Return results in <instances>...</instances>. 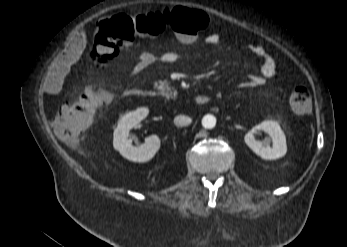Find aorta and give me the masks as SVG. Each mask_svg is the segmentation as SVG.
Returning a JSON list of instances; mask_svg holds the SVG:
<instances>
[{
    "mask_svg": "<svg viewBox=\"0 0 347 247\" xmlns=\"http://www.w3.org/2000/svg\"><path fill=\"white\" fill-rule=\"evenodd\" d=\"M202 125L206 129H212L216 125V118L212 114H207L202 119Z\"/></svg>",
    "mask_w": 347,
    "mask_h": 247,
    "instance_id": "762f6f07",
    "label": "aorta"
}]
</instances>
